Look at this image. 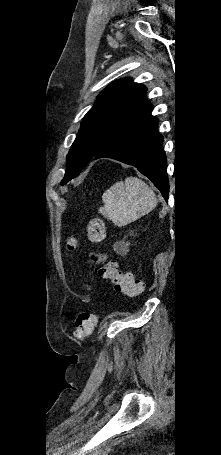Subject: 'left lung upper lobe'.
Wrapping results in <instances>:
<instances>
[{
	"instance_id": "left-lung-upper-lobe-1",
	"label": "left lung upper lobe",
	"mask_w": 221,
	"mask_h": 455,
	"mask_svg": "<svg viewBox=\"0 0 221 455\" xmlns=\"http://www.w3.org/2000/svg\"><path fill=\"white\" fill-rule=\"evenodd\" d=\"M146 87L129 78L112 82L84 116L67 155L61 184L76 177L85 165L116 135L152 111L145 100Z\"/></svg>"
}]
</instances>
